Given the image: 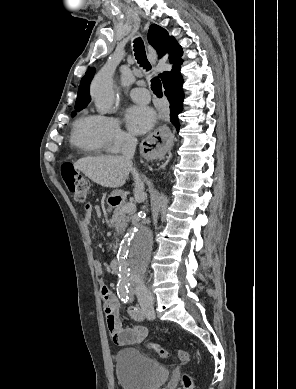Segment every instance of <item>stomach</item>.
<instances>
[{
    "mask_svg": "<svg viewBox=\"0 0 296 389\" xmlns=\"http://www.w3.org/2000/svg\"><path fill=\"white\" fill-rule=\"evenodd\" d=\"M124 194L122 191H118V190H115L111 193V195L109 196V198H115V197H123Z\"/></svg>",
    "mask_w": 296,
    "mask_h": 389,
    "instance_id": "1",
    "label": "stomach"
}]
</instances>
